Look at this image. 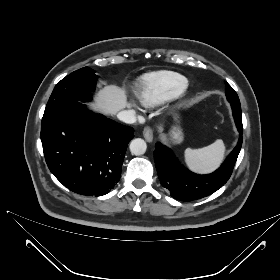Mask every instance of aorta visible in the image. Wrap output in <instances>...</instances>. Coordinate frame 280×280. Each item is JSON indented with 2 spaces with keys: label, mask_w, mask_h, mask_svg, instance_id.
<instances>
[{
  "label": "aorta",
  "mask_w": 280,
  "mask_h": 280,
  "mask_svg": "<svg viewBox=\"0 0 280 280\" xmlns=\"http://www.w3.org/2000/svg\"><path fill=\"white\" fill-rule=\"evenodd\" d=\"M129 148L133 155L139 156L146 152L147 145L143 139L136 138L131 141Z\"/></svg>",
  "instance_id": "1"
}]
</instances>
